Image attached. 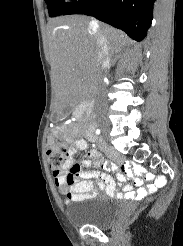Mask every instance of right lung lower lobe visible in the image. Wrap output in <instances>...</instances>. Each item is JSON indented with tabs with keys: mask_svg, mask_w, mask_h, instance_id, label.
Returning a JSON list of instances; mask_svg holds the SVG:
<instances>
[{
	"mask_svg": "<svg viewBox=\"0 0 183 246\" xmlns=\"http://www.w3.org/2000/svg\"><path fill=\"white\" fill-rule=\"evenodd\" d=\"M155 0H79L63 15L85 14L123 30L141 41L153 19Z\"/></svg>",
	"mask_w": 183,
	"mask_h": 246,
	"instance_id": "right-lung-lower-lobe-1",
	"label": "right lung lower lobe"
}]
</instances>
